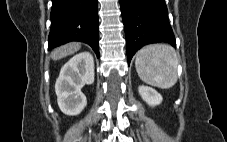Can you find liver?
Here are the masks:
<instances>
[{
	"mask_svg": "<svg viewBox=\"0 0 227 142\" xmlns=\"http://www.w3.org/2000/svg\"><path fill=\"white\" fill-rule=\"evenodd\" d=\"M80 48H81V44L80 43L72 42V43L66 44L64 46H61V47L55 49L52 52L51 57H52L53 60H59L61 58H64L66 56L74 54Z\"/></svg>",
	"mask_w": 227,
	"mask_h": 142,
	"instance_id": "6515ba94",
	"label": "liver"
}]
</instances>
